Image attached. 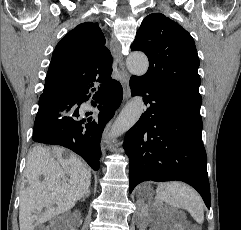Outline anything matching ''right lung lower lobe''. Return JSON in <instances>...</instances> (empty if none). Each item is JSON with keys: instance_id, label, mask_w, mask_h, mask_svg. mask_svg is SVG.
Segmentation results:
<instances>
[{"instance_id": "1", "label": "right lung lower lobe", "mask_w": 241, "mask_h": 230, "mask_svg": "<svg viewBox=\"0 0 241 230\" xmlns=\"http://www.w3.org/2000/svg\"><path fill=\"white\" fill-rule=\"evenodd\" d=\"M89 97L90 94L85 93L60 103L39 99L33 140L69 148L80 155L92 169L98 170L102 132L121 104L123 89L116 80L99 87L93 95V99L98 103V116L95 119H81L80 104L86 102Z\"/></svg>"}]
</instances>
